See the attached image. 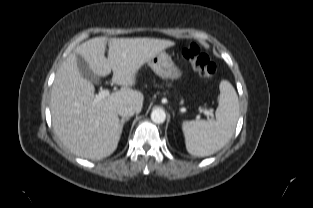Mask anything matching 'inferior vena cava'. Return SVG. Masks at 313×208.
I'll use <instances>...</instances> for the list:
<instances>
[{"label": "inferior vena cava", "mask_w": 313, "mask_h": 208, "mask_svg": "<svg viewBox=\"0 0 313 208\" xmlns=\"http://www.w3.org/2000/svg\"><path fill=\"white\" fill-rule=\"evenodd\" d=\"M117 113L122 117H131L136 113V108L132 104L122 103L117 106Z\"/></svg>", "instance_id": "obj_1"}]
</instances>
